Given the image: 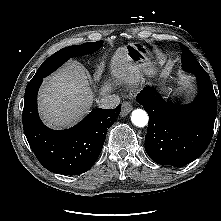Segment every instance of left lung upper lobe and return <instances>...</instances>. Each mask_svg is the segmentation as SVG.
Wrapping results in <instances>:
<instances>
[{
    "label": "left lung upper lobe",
    "instance_id": "1",
    "mask_svg": "<svg viewBox=\"0 0 221 221\" xmlns=\"http://www.w3.org/2000/svg\"><path fill=\"white\" fill-rule=\"evenodd\" d=\"M182 50V67L185 71L195 74H200L205 72V70L200 66L199 62L192 54V52L183 44L179 43Z\"/></svg>",
    "mask_w": 221,
    "mask_h": 221
}]
</instances>
